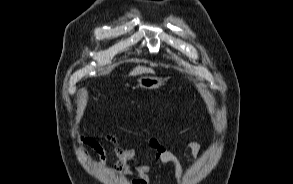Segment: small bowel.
<instances>
[{
    "label": "small bowel",
    "instance_id": "small-bowel-1",
    "mask_svg": "<svg viewBox=\"0 0 293 184\" xmlns=\"http://www.w3.org/2000/svg\"><path fill=\"white\" fill-rule=\"evenodd\" d=\"M79 140L82 144L89 146L98 156V164L102 166L107 160V153L101 141H106L113 145L116 153V162L111 170V175H118L126 172H133L135 177L131 184H156V179L151 180V172L158 173L166 164H171L174 170V178L177 184L181 183L183 177V167L174 153L169 151L159 139L152 137L148 143L154 151V159L151 164L137 161L135 151L120 146L117 138L112 134H101L98 136L81 135ZM200 144L193 141L189 144L191 155L197 158L200 152Z\"/></svg>",
    "mask_w": 293,
    "mask_h": 184
}]
</instances>
